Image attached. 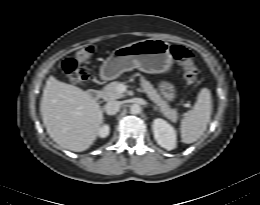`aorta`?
Returning a JSON list of instances; mask_svg holds the SVG:
<instances>
[{
  "label": "aorta",
  "instance_id": "aorta-1",
  "mask_svg": "<svg viewBox=\"0 0 260 205\" xmlns=\"http://www.w3.org/2000/svg\"><path fill=\"white\" fill-rule=\"evenodd\" d=\"M131 114H139L141 112V107L138 104H133L130 107Z\"/></svg>",
  "mask_w": 260,
  "mask_h": 205
}]
</instances>
